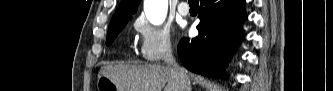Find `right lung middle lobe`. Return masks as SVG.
I'll list each match as a JSON object with an SVG mask.
<instances>
[{
  "label": "right lung middle lobe",
  "instance_id": "obj_1",
  "mask_svg": "<svg viewBox=\"0 0 333 91\" xmlns=\"http://www.w3.org/2000/svg\"><path fill=\"white\" fill-rule=\"evenodd\" d=\"M130 18H124L117 21L110 22L109 30L107 35L106 44L110 45L114 39L117 37L119 32L125 27Z\"/></svg>",
  "mask_w": 333,
  "mask_h": 91
}]
</instances>
